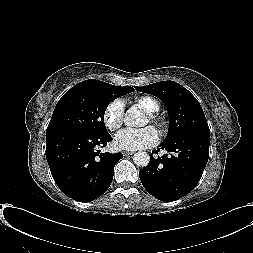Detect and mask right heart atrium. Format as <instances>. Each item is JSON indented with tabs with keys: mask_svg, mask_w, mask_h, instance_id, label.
<instances>
[{
	"mask_svg": "<svg viewBox=\"0 0 253 253\" xmlns=\"http://www.w3.org/2000/svg\"><path fill=\"white\" fill-rule=\"evenodd\" d=\"M103 121L110 131L119 130L124 122V102L114 99L108 103L103 112Z\"/></svg>",
	"mask_w": 253,
	"mask_h": 253,
	"instance_id": "1",
	"label": "right heart atrium"
}]
</instances>
